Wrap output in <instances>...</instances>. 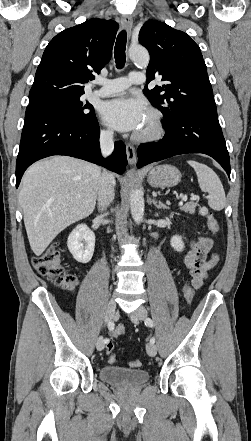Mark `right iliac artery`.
Masks as SVG:
<instances>
[{
	"label": "right iliac artery",
	"instance_id": "obj_1",
	"mask_svg": "<svg viewBox=\"0 0 251 441\" xmlns=\"http://www.w3.org/2000/svg\"><path fill=\"white\" fill-rule=\"evenodd\" d=\"M108 329H109V331H112L114 329V323L112 321H110L108 323ZM107 342H108V338H105L104 343H107Z\"/></svg>",
	"mask_w": 251,
	"mask_h": 441
}]
</instances>
